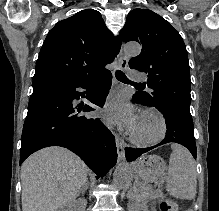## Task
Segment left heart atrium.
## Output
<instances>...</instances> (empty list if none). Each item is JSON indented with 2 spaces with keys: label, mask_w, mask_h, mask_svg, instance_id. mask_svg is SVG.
Segmentation results:
<instances>
[{
  "label": "left heart atrium",
  "mask_w": 219,
  "mask_h": 211,
  "mask_svg": "<svg viewBox=\"0 0 219 211\" xmlns=\"http://www.w3.org/2000/svg\"><path fill=\"white\" fill-rule=\"evenodd\" d=\"M102 119L107 124L120 125L132 130L139 120L133 106L122 96L116 97L103 108Z\"/></svg>",
  "instance_id": "obj_1"
}]
</instances>
